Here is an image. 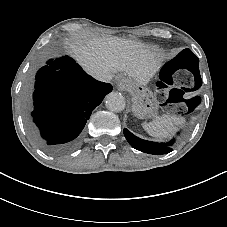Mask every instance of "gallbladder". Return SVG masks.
I'll return each instance as SVG.
<instances>
[{
	"label": "gallbladder",
	"mask_w": 227,
	"mask_h": 227,
	"mask_svg": "<svg viewBox=\"0 0 227 227\" xmlns=\"http://www.w3.org/2000/svg\"><path fill=\"white\" fill-rule=\"evenodd\" d=\"M26 92H27V97H28V99H29V92H30V90H29V86L27 87Z\"/></svg>",
	"instance_id": "bac80fb5"
}]
</instances>
